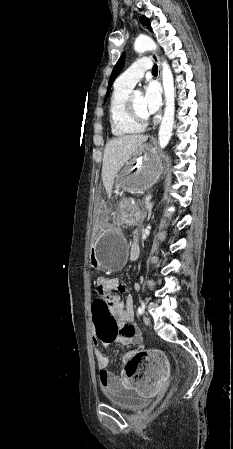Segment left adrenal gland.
<instances>
[{
	"mask_svg": "<svg viewBox=\"0 0 233 449\" xmlns=\"http://www.w3.org/2000/svg\"><path fill=\"white\" fill-rule=\"evenodd\" d=\"M151 198H152V196L149 195L146 197V200H145L146 212L144 214H147V220H150L151 214H152V208L154 206V204L150 202Z\"/></svg>",
	"mask_w": 233,
	"mask_h": 449,
	"instance_id": "obj_1",
	"label": "left adrenal gland"
}]
</instances>
